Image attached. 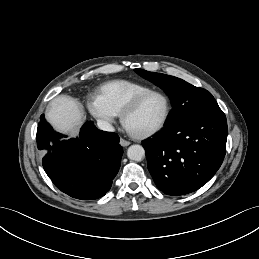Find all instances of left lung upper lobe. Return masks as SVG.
<instances>
[{
	"mask_svg": "<svg viewBox=\"0 0 259 259\" xmlns=\"http://www.w3.org/2000/svg\"><path fill=\"white\" fill-rule=\"evenodd\" d=\"M135 72L159 86L170 97L173 109L166 127L221 110L212 94L203 88L195 87L182 79L166 74L138 68Z\"/></svg>",
	"mask_w": 259,
	"mask_h": 259,
	"instance_id": "obj_1",
	"label": "left lung upper lobe"
}]
</instances>
